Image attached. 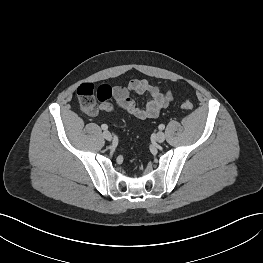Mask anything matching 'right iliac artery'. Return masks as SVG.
<instances>
[{
    "label": "right iliac artery",
    "instance_id": "obj_1",
    "mask_svg": "<svg viewBox=\"0 0 263 263\" xmlns=\"http://www.w3.org/2000/svg\"><path fill=\"white\" fill-rule=\"evenodd\" d=\"M101 128H102L103 130H107V129H108V126H107L106 124H102V125H101Z\"/></svg>",
    "mask_w": 263,
    "mask_h": 263
}]
</instances>
